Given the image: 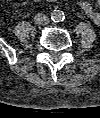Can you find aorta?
I'll use <instances>...</instances> for the list:
<instances>
[{
	"label": "aorta",
	"instance_id": "aorta-1",
	"mask_svg": "<svg viewBox=\"0 0 100 118\" xmlns=\"http://www.w3.org/2000/svg\"><path fill=\"white\" fill-rule=\"evenodd\" d=\"M51 19L54 22H61V21H63L65 19V14L61 10H53L51 12Z\"/></svg>",
	"mask_w": 100,
	"mask_h": 118
}]
</instances>
